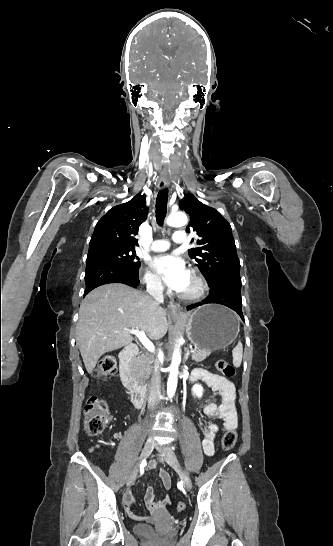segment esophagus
<instances>
[{"instance_id":"1","label":"esophagus","mask_w":333,"mask_h":546,"mask_svg":"<svg viewBox=\"0 0 333 546\" xmlns=\"http://www.w3.org/2000/svg\"><path fill=\"white\" fill-rule=\"evenodd\" d=\"M169 185V180L166 174L161 175L159 182H158V189L163 190ZM168 311L171 316H179L181 315V307L179 304H176L174 302L168 303Z\"/></svg>"}]
</instances>
